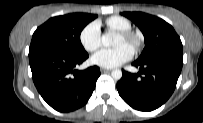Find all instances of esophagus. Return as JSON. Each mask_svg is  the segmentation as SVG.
Segmentation results:
<instances>
[{"label":"esophagus","instance_id":"obj_1","mask_svg":"<svg viewBox=\"0 0 203 123\" xmlns=\"http://www.w3.org/2000/svg\"><path fill=\"white\" fill-rule=\"evenodd\" d=\"M110 71H111V69L101 68L102 73H106V72H110Z\"/></svg>","mask_w":203,"mask_h":123}]
</instances>
